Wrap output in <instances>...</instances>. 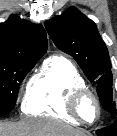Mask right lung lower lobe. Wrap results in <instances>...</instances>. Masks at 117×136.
<instances>
[{
  "label": "right lung lower lobe",
  "mask_w": 117,
  "mask_h": 136,
  "mask_svg": "<svg viewBox=\"0 0 117 136\" xmlns=\"http://www.w3.org/2000/svg\"><path fill=\"white\" fill-rule=\"evenodd\" d=\"M12 109L11 107H0V117L8 114Z\"/></svg>",
  "instance_id": "1"
}]
</instances>
